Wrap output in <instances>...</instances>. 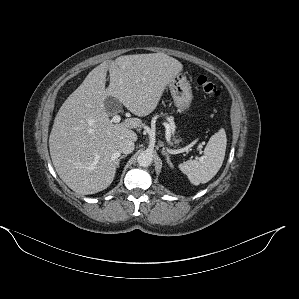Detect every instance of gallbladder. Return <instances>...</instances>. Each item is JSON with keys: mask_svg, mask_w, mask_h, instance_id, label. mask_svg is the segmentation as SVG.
<instances>
[{"mask_svg": "<svg viewBox=\"0 0 299 299\" xmlns=\"http://www.w3.org/2000/svg\"><path fill=\"white\" fill-rule=\"evenodd\" d=\"M105 108L107 113L116 114L122 110V105L116 98L109 96L105 100Z\"/></svg>", "mask_w": 299, "mask_h": 299, "instance_id": "1", "label": "gallbladder"}]
</instances>
